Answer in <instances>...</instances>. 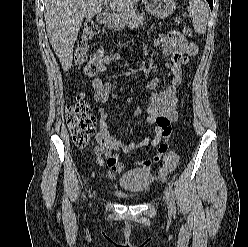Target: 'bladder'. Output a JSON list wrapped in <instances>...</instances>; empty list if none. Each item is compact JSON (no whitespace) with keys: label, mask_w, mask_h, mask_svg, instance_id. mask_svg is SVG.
I'll use <instances>...</instances> for the list:
<instances>
[{"label":"bladder","mask_w":248,"mask_h":247,"mask_svg":"<svg viewBox=\"0 0 248 247\" xmlns=\"http://www.w3.org/2000/svg\"><path fill=\"white\" fill-rule=\"evenodd\" d=\"M153 180L151 173L147 170L137 169L129 171L120 179L124 190L132 193H141L149 188ZM125 197V196H122Z\"/></svg>","instance_id":"obj_1"}]
</instances>
